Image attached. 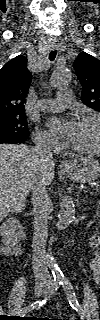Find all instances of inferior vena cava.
<instances>
[{"label": "inferior vena cava", "instance_id": "602c4592", "mask_svg": "<svg viewBox=\"0 0 100 320\" xmlns=\"http://www.w3.org/2000/svg\"><path fill=\"white\" fill-rule=\"evenodd\" d=\"M33 152L42 161H52L50 147L44 139L36 141ZM31 190L34 214V235L32 241L33 272L37 282H47L50 279L46 257V241L48 237L47 219L51 211L52 202L46 189V183L42 178L37 179L33 183Z\"/></svg>", "mask_w": 100, "mask_h": 320}]
</instances>
